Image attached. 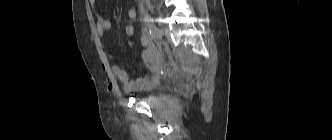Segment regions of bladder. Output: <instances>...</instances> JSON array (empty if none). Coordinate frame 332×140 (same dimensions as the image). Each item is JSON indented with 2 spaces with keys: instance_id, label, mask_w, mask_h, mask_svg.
Instances as JSON below:
<instances>
[{
  "instance_id": "bladder-1",
  "label": "bladder",
  "mask_w": 332,
  "mask_h": 140,
  "mask_svg": "<svg viewBox=\"0 0 332 140\" xmlns=\"http://www.w3.org/2000/svg\"><path fill=\"white\" fill-rule=\"evenodd\" d=\"M159 83H160V81L158 78H152L149 81L148 85L142 91L144 93H151L157 89V87L159 86Z\"/></svg>"
}]
</instances>
